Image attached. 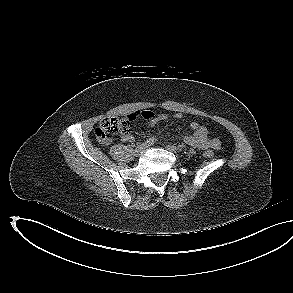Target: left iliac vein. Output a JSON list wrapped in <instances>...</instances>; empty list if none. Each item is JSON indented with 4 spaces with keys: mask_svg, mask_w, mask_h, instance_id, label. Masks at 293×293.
<instances>
[{
    "mask_svg": "<svg viewBox=\"0 0 293 293\" xmlns=\"http://www.w3.org/2000/svg\"><path fill=\"white\" fill-rule=\"evenodd\" d=\"M166 148H167V150L174 152V153H176L178 150L177 147L174 145H167Z\"/></svg>",
    "mask_w": 293,
    "mask_h": 293,
    "instance_id": "4c4485c4",
    "label": "left iliac vein"
}]
</instances>
